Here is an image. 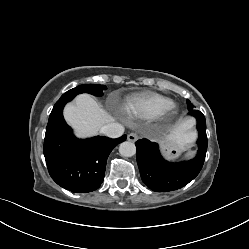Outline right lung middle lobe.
<instances>
[{
    "label": "right lung middle lobe",
    "mask_w": 249,
    "mask_h": 249,
    "mask_svg": "<svg viewBox=\"0 0 249 249\" xmlns=\"http://www.w3.org/2000/svg\"><path fill=\"white\" fill-rule=\"evenodd\" d=\"M106 86L104 85H97V84H84L77 86L66 93H64L60 99L56 102L54 107L60 106L62 104H66L67 102L71 101L76 95L80 93H90L95 96H102L103 90H106Z\"/></svg>",
    "instance_id": "dd1d6c3e"
}]
</instances>
